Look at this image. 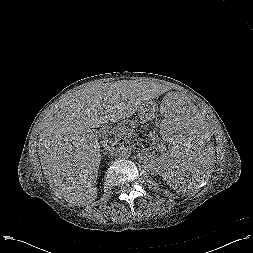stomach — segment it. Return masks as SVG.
Masks as SVG:
<instances>
[{"mask_svg":"<svg viewBox=\"0 0 253 253\" xmlns=\"http://www.w3.org/2000/svg\"><path fill=\"white\" fill-rule=\"evenodd\" d=\"M138 115L142 120H151L154 116L153 105H144L138 110Z\"/></svg>","mask_w":253,"mask_h":253,"instance_id":"obj_1","label":"stomach"}]
</instances>
